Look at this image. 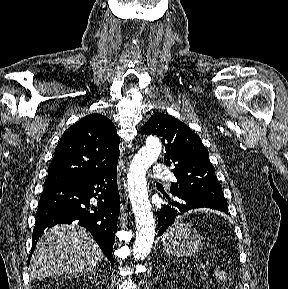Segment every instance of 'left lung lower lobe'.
<instances>
[{
    "mask_svg": "<svg viewBox=\"0 0 288 289\" xmlns=\"http://www.w3.org/2000/svg\"><path fill=\"white\" fill-rule=\"evenodd\" d=\"M175 200L169 199V204L163 206V212H158V236H161L166 229L173 224L175 219L182 215L184 212L192 209L207 208L214 209L218 211L225 212L228 214V210L215 205L208 200L189 197V196H180L174 195Z\"/></svg>",
    "mask_w": 288,
    "mask_h": 289,
    "instance_id": "obj_1",
    "label": "left lung lower lobe"
}]
</instances>
